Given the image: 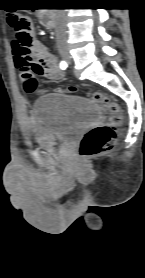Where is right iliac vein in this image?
Segmentation results:
<instances>
[{
  "label": "right iliac vein",
  "instance_id": "obj_1",
  "mask_svg": "<svg viewBox=\"0 0 145 278\" xmlns=\"http://www.w3.org/2000/svg\"><path fill=\"white\" fill-rule=\"evenodd\" d=\"M60 53L67 59V51L65 49H61Z\"/></svg>",
  "mask_w": 145,
  "mask_h": 278
}]
</instances>
